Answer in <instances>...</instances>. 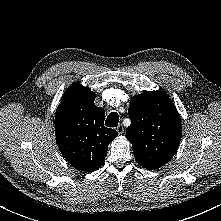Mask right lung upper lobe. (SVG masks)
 <instances>
[{"instance_id":"cb5924a9","label":"right lung upper lobe","mask_w":221,"mask_h":221,"mask_svg":"<svg viewBox=\"0 0 221 221\" xmlns=\"http://www.w3.org/2000/svg\"><path fill=\"white\" fill-rule=\"evenodd\" d=\"M95 93L74 83L65 91L55 114V133L64 158L75 168L92 172L99 169L108 145L117 137L104 124L105 111L94 104Z\"/></svg>"}]
</instances>
